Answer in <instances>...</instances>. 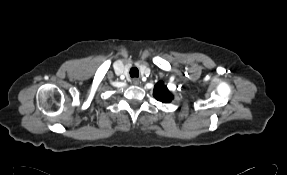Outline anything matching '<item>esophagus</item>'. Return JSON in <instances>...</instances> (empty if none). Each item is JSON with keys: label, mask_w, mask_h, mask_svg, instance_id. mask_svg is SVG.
<instances>
[{"label": "esophagus", "mask_w": 287, "mask_h": 175, "mask_svg": "<svg viewBox=\"0 0 287 175\" xmlns=\"http://www.w3.org/2000/svg\"><path fill=\"white\" fill-rule=\"evenodd\" d=\"M132 83H133L134 85H138V84L140 83V80H139L138 78H133V79H132Z\"/></svg>", "instance_id": "1"}]
</instances>
